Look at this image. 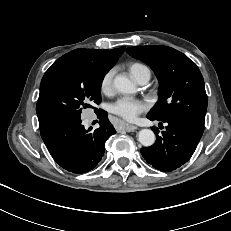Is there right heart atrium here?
Wrapping results in <instances>:
<instances>
[{
	"label": "right heart atrium",
	"mask_w": 231,
	"mask_h": 231,
	"mask_svg": "<svg viewBox=\"0 0 231 231\" xmlns=\"http://www.w3.org/2000/svg\"><path fill=\"white\" fill-rule=\"evenodd\" d=\"M115 70H108L101 78L100 81V90L104 94H110L113 91V79H114Z\"/></svg>",
	"instance_id": "right-heart-atrium-1"
}]
</instances>
